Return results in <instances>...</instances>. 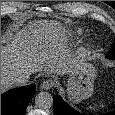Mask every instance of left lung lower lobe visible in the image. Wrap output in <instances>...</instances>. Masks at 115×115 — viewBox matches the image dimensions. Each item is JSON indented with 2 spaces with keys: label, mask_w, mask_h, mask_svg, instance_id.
<instances>
[{
  "label": "left lung lower lobe",
  "mask_w": 115,
  "mask_h": 115,
  "mask_svg": "<svg viewBox=\"0 0 115 115\" xmlns=\"http://www.w3.org/2000/svg\"><path fill=\"white\" fill-rule=\"evenodd\" d=\"M54 115H87V114H81L75 111L68 104H66L59 95H55ZM104 115H115V111L104 114Z\"/></svg>",
  "instance_id": "obj_1"
}]
</instances>
